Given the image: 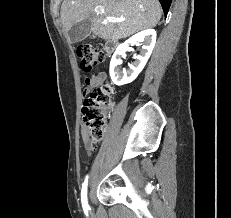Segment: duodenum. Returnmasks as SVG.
<instances>
[{
    "instance_id": "410a0bca",
    "label": "duodenum",
    "mask_w": 231,
    "mask_h": 218,
    "mask_svg": "<svg viewBox=\"0 0 231 218\" xmlns=\"http://www.w3.org/2000/svg\"><path fill=\"white\" fill-rule=\"evenodd\" d=\"M116 46H117V43L115 40H109L106 43V49L109 52H113L115 50Z\"/></svg>"
}]
</instances>
